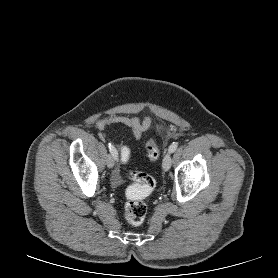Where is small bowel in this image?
I'll return each mask as SVG.
<instances>
[{"mask_svg": "<svg viewBox=\"0 0 278 278\" xmlns=\"http://www.w3.org/2000/svg\"><path fill=\"white\" fill-rule=\"evenodd\" d=\"M111 125H123L130 130L135 139H140L142 134L149 129L151 118L145 117L144 119H139L136 116L113 115L100 119L95 124L99 131H103ZM122 151L123 149H121ZM115 181L119 182L118 176L115 177Z\"/></svg>", "mask_w": 278, "mask_h": 278, "instance_id": "1", "label": "small bowel"}]
</instances>
